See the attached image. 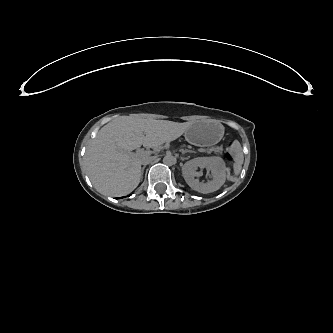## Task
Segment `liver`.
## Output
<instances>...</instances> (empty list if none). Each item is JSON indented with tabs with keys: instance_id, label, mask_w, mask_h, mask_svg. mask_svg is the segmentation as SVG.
<instances>
[{
	"instance_id": "obj_1",
	"label": "liver",
	"mask_w": 333,
	"mask_h": 333,
	"mask_svg": "<svg viewBox=\"0 0 333 333\" xmlns=\"http://www.w3.org/2000/svg\"><path fill=\"white\" fill-rule=\"evenodd\" d=\"M179 133L158 135L114 137L111 133L101 134L88 146L85 160L88 175L95 188L109 194H125L133 191L140 182L142 159L130 155V151L142 145L157 147L175 140Z\"/></svg>"
}]
</instances>
